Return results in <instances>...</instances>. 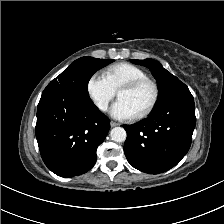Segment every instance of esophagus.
Returning <instances> with one entry per match:
<instances>
[{
    "mask_svg": "<svg viewBox=\"0 0 224 224\" xmlns=\"http://www.w3.org/2000/svg\"><path fill=\"white\" fill-rule=\"evenodd\" d=\"M120 124L119 123H117V122H114V121H111L110 122V126L111 127H116V126H119Z\"/></svg>",
    "mask_w": 224,
    "mask_h": 224,
    "instance_id": "1",
    "label": "esophagus"
}]
</instances>
